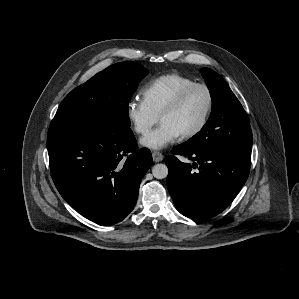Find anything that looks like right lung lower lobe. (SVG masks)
I'll list each match as a JSON object with an SVG mask.
<instances>
[{"label": "right lung lower lobe", "instance_id": "obj_1", "mask_svg": "<svg viewBox=\"0 0 299 299\" xmlns=\"http://www.w3.org/2000/svg\"><path fill=\"white\" fill-rule=\"evenodd\" d=\"M47 148L61 196L101 225L118 223L132 211L140 182L153 163L149 149H137L130 128L112 124L49 128Z\"/></svg>", "mask_w": 299, "mask_h": 299}]
</instances>
